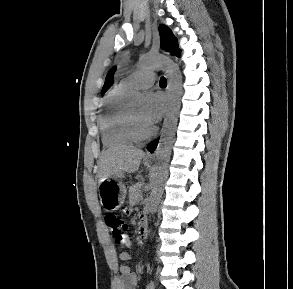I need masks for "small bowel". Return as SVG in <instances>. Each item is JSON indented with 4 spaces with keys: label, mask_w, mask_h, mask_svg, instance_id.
Here are the masks:
<instances>
[{
    "label": "small bowel",
    "mask_w": 293,
    "mask_h": 289,
    "mask_svg": "<svg viewBox=\"0 0 293 289\" xmlns=\"http://www.w3.org/2000/svg\"><path fill=\"white\" fill-rule=\"evenodd\" d=\"M124 244L126 246L130 245V239L128 237ZM119 259L126 262L131 259V255L128 251H121L119 253ZM137 283L138 278L131 267L125 264L121 265L120 275L116 280L115 289H136Z\"/></svg>",
    "instance_id": "c3829d8e"
}]
</instances>
